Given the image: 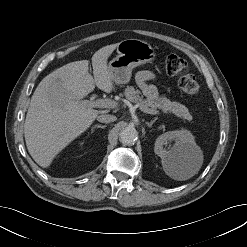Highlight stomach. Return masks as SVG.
I'll return each mask as SVG.
<instances>
[{"label":"stomach","mask_w":247,"mask_h":247,"mask_svg":"<svg viewBox=\"0 0 247 247\" xmlns=\"http://www.w3.org/2000/svg\"><path fill=\"white\" fill-rule=\"evenodd\" d=\"M118 55L108 65L113 83L126 84L130 81L132 70L155 58L154 48L139 39H125L117 45Z\"/></svg>","instance_id":"obj_1"}]
</instances>
